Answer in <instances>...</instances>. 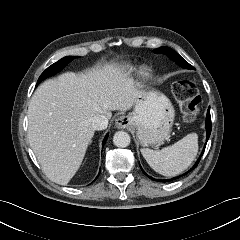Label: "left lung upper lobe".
<instances>
[{
  "mask_svg": "<svg viewBox=\"0 0 240 240\" xmlns=\"http://www.w3.org/2000/svg\"><path fill=\"white\" fill-rule=\"evenodd\" d=\"M153 52L155 54H160V53L166 54L180 66L187 68V69H194L193 66H191L177 52H175L173 49H171L169 47L163 46L158 49H155Z\"/></svg>",
  "mask_w": 240,
  "mask_h": 240,
  "instance_id": "obj_1",
  "label": "left lung upper lobe"
}]
</instances>
